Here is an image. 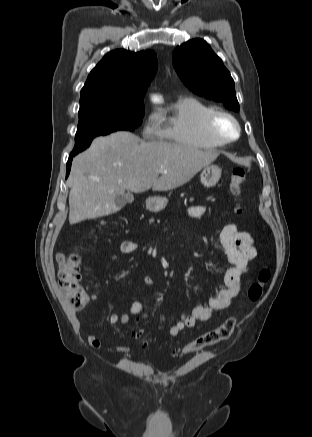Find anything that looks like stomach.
Returning a JSON list of instances; mask_svg holds the SVG:
<instances>
[{"instance_id": "0dacf381", "label": "stomach", "mask_w": 312, "mask_h": 437, "mask_svg": "<svg viewBox=\"0 0 312 437\" xmlns=\"http://www.w3.org/2000/svg\"><path fill=\"white\" fill-rule=\"evenodd\" d=\"M221 168L217 165H207L200 174L201 183L207 187L215 186L221 177ZM168 199L165 197L154 196L146 201V207L153 212H160L166 208Z\"/></svg>"}]
</instances>
